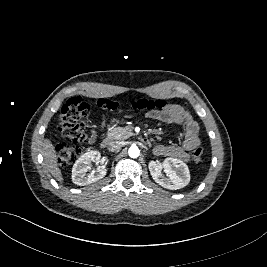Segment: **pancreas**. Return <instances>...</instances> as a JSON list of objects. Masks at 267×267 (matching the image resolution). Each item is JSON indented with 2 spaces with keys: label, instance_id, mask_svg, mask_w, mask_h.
Returning a JSON list of instances; mask_svg holds the SVG:
<instances>
[{
  "label": "pancreas",
  "instance_id": "pancreas-1",
  "mask_svg": "<svg viewBox=\"0 0 267 267\" xmlns=\"http://www.w3.org/2000/svg\"><path fill=\"white\" fill-rule=\"evenodd\" d=\"M131 128L116 127L112 128L107 133V139H125L129 136Z\"/></svg>",
  "mask_w": 267,
  "mask_h": 267
}]
</instances>
